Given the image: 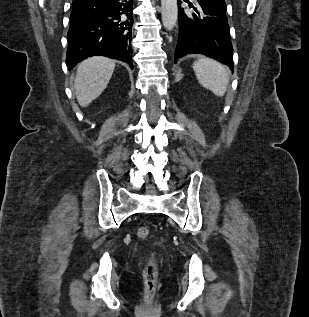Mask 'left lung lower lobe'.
I'll use <instances>...</instances> for the list:
<instances>
[{"instance_id": "obj_1", "label": "left lung lower lobe", "mask_w": 309, "mask_h": 317, "mask_svg": "<svg viewBox=\"0 0 309 317\" xmlns=\"http://www.w3.org/2000/svg\"><path fill=\"white\" fill-rule=\"evenodd\" d=\"M192 7L196 13L185 12L178 6L179 36L175 59L198 53L220 61L233 71L226 5L197 0L196 7Z\"/></svg>"}]
</instances>
